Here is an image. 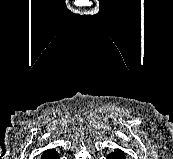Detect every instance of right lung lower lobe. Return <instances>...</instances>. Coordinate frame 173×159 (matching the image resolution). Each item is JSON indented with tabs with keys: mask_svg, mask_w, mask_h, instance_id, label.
I'll list each match as a JSON object with an SVG mask.
<instances>
[{
	"mask_svg": "<svg viewBox=\"0 0 173 159\" xmlns=\"http://www.w3.org/2000/svg\"><path fill=\"white\" fill-rule=\"evenodd\" d=\"M42 159H59V154L54 150L46 152L42 155Z\"/></svg>",
	"mask_w": 173,
	"mask_h": 159,
	"instance_id": "obj_1",
	"label": "right lung lower lobe"
}]
</instances>
